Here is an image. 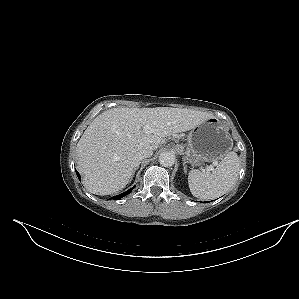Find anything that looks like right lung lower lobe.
Returning <instances> with one entry per match:
<instances>
[{
  "instance_id": "obj_1",
  "label": "right lung lower lobe",
  "mask_w": 299,
  "mask_h": 299,
  "mask_svg": "<svg viewBox=\"0 0 299 299\" xmlns=\"http://www.w3.org/2000/svg\"><path fill=\"white\" fill-rule=\"evenodd\" d=\"M76 174H77V176H78V178H79V180H80V175H79V173H78L77 171H76ZM134 188H135V186L132 187L131 189H129L128 191H126L125 193L119 194V195H117V196H113L111 199L118 200V199H120V198H122V197L128 195Z\"/></svg>"
}]
</instances>
